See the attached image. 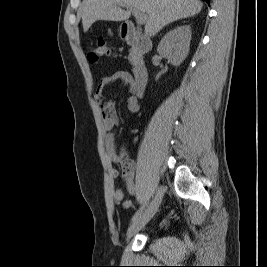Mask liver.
Here are the masks:
<instances>
[{
    "mask_svg": "<svg viewBox=\"0 0 267 267\" xmlns=\"http://www.w3.org/2000/svg\"><path fill=\"white\" fill-rule=\"evenodd\" d=\"M118 3L125 4L127 11L122 10ZM202 7L199 0H83V30L87 32L97 20H127L131 10L137 9L146 15L145 34L152 37L164 26L200 13Z\"/></svg>",
    "mask_w": 267,
    "mask_h": 267,
    "instance_id": "obj_1",
    "label": "liver"
}]
</instances>
